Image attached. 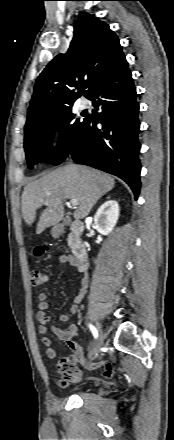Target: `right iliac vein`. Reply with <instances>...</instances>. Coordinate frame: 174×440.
<instances>
[{
    "instance_id": "obj_1",
    "label": "right iliac vein",
    "mask_w": 174,
    "mask_h": 440,
    "mask_svg": "<svg viewBox=\"0 0 174 440\" xmlns=\"http://www.w3.org/2000/svg\"><path fill=\"white\" fill-rule=\"evenodd\" d=\"M103 340H104V336H103L102 330L99 328V337L97 339V342H96L92 352L89 355V359H93L95 356L98 355L100 348L103 344Z\"/></svg>"
}]
</instances>
